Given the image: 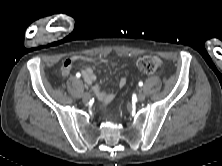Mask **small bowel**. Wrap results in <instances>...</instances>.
<instances>
[{
    "instance_id": "1",
    "label": "small bowel",
    "mask_w": 222,
    "mask_h": 166,
    "mask_svg": "<svg viewBox=\"0 0 222 166\" xmlns=\"http://www.w3.org/2000/svg\"><path fill=\"white\" fill-rule=\"evenodd\" d=\"M78 60L91 62V63L103 61L101 59H95V58L86 57V56L69 57L64 61L62 65V69H61L62 75L63 76L69 75L73 67V64ZM81 73L86 84L92 87V90L95 93L96 97L102 102L104 106L108 105L114 98L113 93L101 89L96 84V75L94 74L93 70L90 67L83 68ZM126 82H127L126 77H121L119 80V87L121 88L124 87L126 85Z\"/></svg>"
}]
</instances>
